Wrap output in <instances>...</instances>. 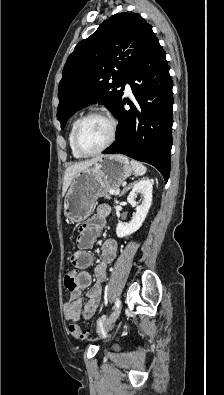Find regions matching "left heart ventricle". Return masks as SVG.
<instances>
[{
  "instance_id": "b2bd125f",
  "label": "left heart ventricle",
  "mask_w": 224,
  "mask_h": 395,
  "mask_svg": "<svg viewBox=\"0 0 224 395\" xmlns=\"http://www.w3.org/2000/svg\"><path fill=\"white\" fill-rule=\"evenodd\" d=\"M109 135V123L100 117H91L81 125L79 145L83 151L93 152L105 144Z\"/></svg>"
}]
</instances>
